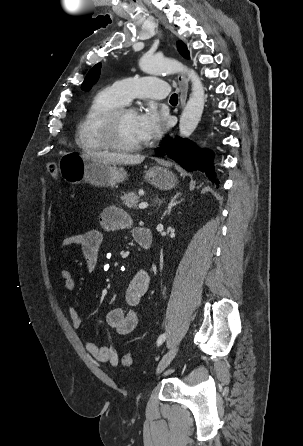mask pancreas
I'll list each match as a JSON object with an SVG mask.
<instances>
[{
	"label": "pancreas",
	"instance_id": "cf45deb5",
	"mask_svg": "<svg viewBox=\"0 0 303 446\" xmlns=\"http://www.w3.org/2000/svg\"><path fill=\"white\" fill-rule=\"evenodd\" d=\"M121 199L123 201V204H125L127 207L136 208L140 197L134 192H129L127 194H124Z\"/></svg>",
	"mask_w": 303,
	"mask_h": 446
}]
</instances>
